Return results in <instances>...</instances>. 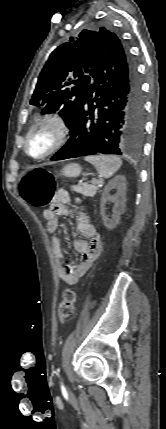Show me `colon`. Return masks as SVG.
<instances>
[{
    "instance_id": "colon-1",
    "label": "colon",
    "mask_w": 166,
    "mask_h": 429,
    "mask_svg": "<svg viewBox=\"0 0 166 429\" xmlns=\"http://www.w3.org/2000/svg\"><path fill=\"white\" fill-rule=\"evenodd\" d=\"M18 190L20 196L29 204L35 207H44L54 198V175L44 168H33L22 176ZM62 193L68 195L66 191ZM76 303L77 293L73 289L64 290L59 304L60 317H70L74 313Z\"/></svg>"
}]
</instances>
